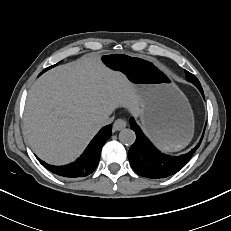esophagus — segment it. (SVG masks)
I'll return each mask as SVG.
<instances>
[{
	"label": "esophagus",
	"mask_w": 231,
	"mask_h": 231,
	"mask_svg": "<svg viewBox=\"0 0 231 231\" xmlns=\"http://www.w3.org/2000/svg\"><path fill=\"white\" fill-rule=\"evenodd\" d=\"M127 123L124 119L118 118L113 124V131H120L126 127Z\"/></svg>",
	"instance_id": "1"
}]
</instances>
